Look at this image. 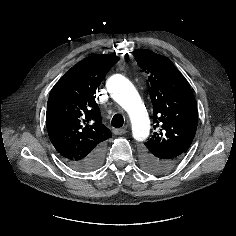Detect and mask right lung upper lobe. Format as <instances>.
<instances>
[{"mask_svg": "<svg viewBox=\"0 0 236 236\" xmlns=\"http://www.w3.org/2000/svg\"><path fill=\"white\" fill-rule=\"evenodd\" d=\"M118 60L115 55L89 56L67 71L52 88L46 126L62 158L83 159L112 136L102 124L94 94Z\"/></svg>", "mask_w": 236, "mask_h": 236, "instance_id": "obj_1", "label": "right lung upper lobe"}]
</instances>
